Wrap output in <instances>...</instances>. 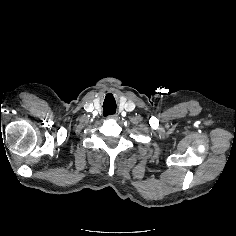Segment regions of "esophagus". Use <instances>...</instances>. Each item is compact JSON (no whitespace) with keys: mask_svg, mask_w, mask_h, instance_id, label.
Segmentation results:
<instances>
[{"mask_svg":"<svg viewBox=\"0 0 236 236\" xmlns=\"http://www.w3.org/2000/svg\"><path fill=\"white\" fill-rule=\"evenodd\" d=\"M107 118L110 120H117L118 116L114 114V115H109Z\"/></svg>","mask_w":236,"mask_h":236,"instance_id":"1","label":"esophagus"}]
</instances>
